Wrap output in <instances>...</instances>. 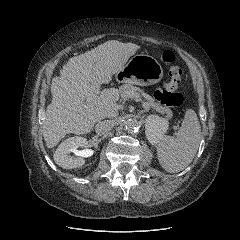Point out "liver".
<instances>
[{
	"label": "liver",
	"instance_id": "6515ba94",
	"mask_svg": "<svg viewBox=\"0 0 240 240\" xmlns=\"http://www.w3.org/2000/svg\"><path fill=\"white\" fill-rule=\"evenodd\" d=\"M140 47L134 43L109 40L72 57L51 83L52 102L47 106L43 137L48 148L55 147L66 134L89 133L94 125L118 115V90L89 98L92 85L107 84ZM110 90V89H106Z\"/></svg>",
	"mask_w": 240,
	"mask_h": 240
}]
</instances>
